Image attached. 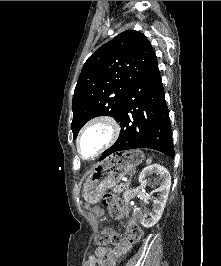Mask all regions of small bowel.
<instances>
[{
    "label": "small bowel",
    "instance_id": "small-bowel-1",
    "mask_svg": "<svg viewBox=\"0 0 221 266\" xmlns=\"http://www.w3.org/2000/svg\"><path fill=\"white\" fill-rule=\"evenodd\" d=\"M132 245L126 242L114 247L97 248L86 260L84 266H116L119 259L131 250Z\"/></svg>",
    "mask_w": 221,
    "mask_h": 266
}]
</instances>
